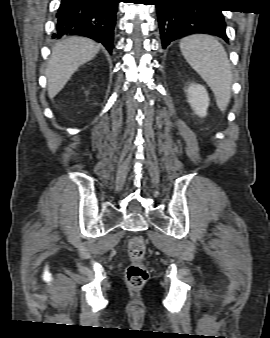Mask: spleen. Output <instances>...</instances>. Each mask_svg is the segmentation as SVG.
<instances>
[{
    "label": "spleen",
    "instance_id": "3e777b00",
    "mask_svg": "<svg viewBox=\"0 0 270 338\" xmlns=\"http://www.w3.org/2000/svg\"><path fill=\"white\" fill-rule=\"evenodd\" d=\"M180 50L213 91L218 108L225 111L231 98L232 71L224 47L213 36L197 34L181 39Z\"/></svg>",
    "mask_w": 270,
    "mask_h": 338
}]
</instances>
